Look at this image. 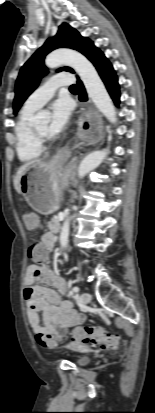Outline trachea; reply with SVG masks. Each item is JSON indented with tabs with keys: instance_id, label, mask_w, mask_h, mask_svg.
I'll use <instances>...</instances> for the list:
<instances>
[{
	"instance_id": "3493384b",
	"label": "trachea",
	"mask_w": 155,
	"mask_h": 413,
	"mask_svg": "<svg viewBox=\"0 0 155 413\" xmlns=\"http://www.w3.org/2000/svg\"><path fill=\"white\" fill-rule=\"evenodd\" d=\"M78 87L76 86V85H72L71 87H70V89L71 90H74V89H77Z\"/></svg>"
}]
</instances>
